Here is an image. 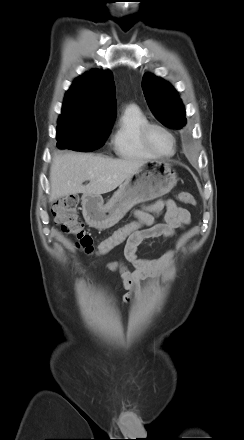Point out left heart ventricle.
<instances>
[{
  "mask_svg": "<svg viewBox=\"0 0 244 440\" xmlns=\"http://www.w3.org/2000/svg\"><path fill=\"white\" fill-rule=\"evenodd\" d=\"M151 148L162 155L170 154L173 151V142L169 135L159 129L151 130L149 134Z\"/></svg>",
  "mask_w": 244,
  "mask_h": 440,
  "instance_id": "1",
  "label": "left heart ventricle"
}]
</instances>
